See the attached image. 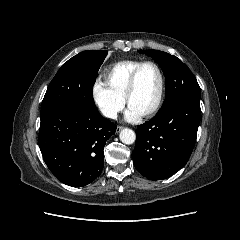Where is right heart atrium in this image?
<instances>
[{"mask_svg": "<svg viewBox=\"0 0 240 240\" xmlns=\"http://www.w3.org/2000/svg\"><path fill=\"white\" fill-rule=\"evenodd\" d=\"M91 95L98 110L110 119L116 118L125 105L124 97L117 94L102 80H96L93 83Z\"/></svg>", "mask_w": 240, "mask_h": 240, "instance_id": "d8ad5b80", "label": "right heart atrium"}]
</instances>
